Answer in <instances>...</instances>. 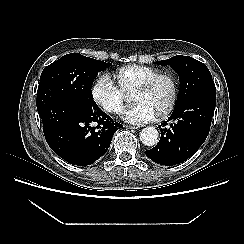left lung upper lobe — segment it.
<instances>
[{"instance_id": "1", "label": "left lung upper lobe", "mask_w": 244, "mask_h": 244, "mask_svg": "<svg viewBox=\"0 0 244 244\" xmlns=\"http://www.w3.org/2000/svg\"><path fill=\"white\" fill-rule=\"evenodd\" d=\"M157 63L170 65L179 74L181 85L176 105L196 95L215 94L216 88L212 76L208 68L198 60L178 55Z\"/></svg>"}]
</instances>
